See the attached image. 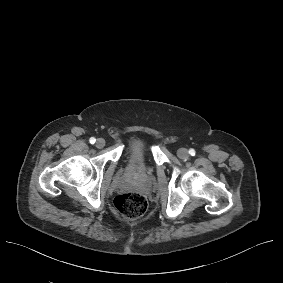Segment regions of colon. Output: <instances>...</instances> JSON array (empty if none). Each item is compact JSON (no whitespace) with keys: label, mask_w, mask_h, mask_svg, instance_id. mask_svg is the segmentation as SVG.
Listing matches in <instances>:
<instances>
[{"label":"colon","mask_w":283,"mask_h":283,"mask_svg":"<svg viewBox=\"0 0 283 283\" xmlns=\"http://www.w3.org/2000/svg\"><path fill=\"white\" fill-rule=\"evenodd\" d=\"M115 207L126 220H136L144 214L147 208L145 197L137 192H129L117 196Z\"/></svg>","instance_id":"1"}]
</instances>
